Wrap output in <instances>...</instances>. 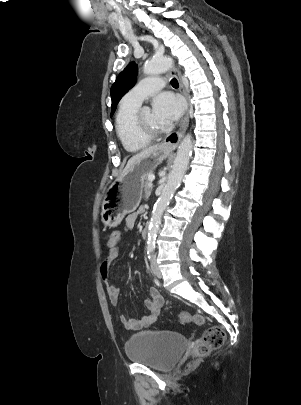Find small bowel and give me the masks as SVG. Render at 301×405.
Instances as JSON below:
<instances>
[{"label": "small bowel", "instance_id": "obj_1", "mask_svg": "<svg viewBox=\"0 0 301 405\" xmlns=\"http://www.w3.org/2000/svg\"><path fill=\"white\" fill-rule=\"evenodd\" d=\"M143 210L138 212H132L127 215L125 219V225L128 229H132L136 223L138 215L142 213ZM121 239V233L119 231H114V233L109 237L107 242L108 254L106 260L102 263L101 274L106 283V290L109 299L113 305H117L119 302L121 289L118 285L111 283L109 281V271L110 266L114 260L119 256V241ZM150 298L145 300V306L149 311V314L143 316L140 319H130L125 315L120 316L121 323L129 330H140L150 327L158 318L162 306L163 298L159 291L155 287H151L149 290Z\"/></svg>", "mask_w": 301, "mask_h": 405}]
</instances>
